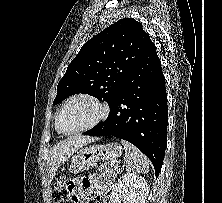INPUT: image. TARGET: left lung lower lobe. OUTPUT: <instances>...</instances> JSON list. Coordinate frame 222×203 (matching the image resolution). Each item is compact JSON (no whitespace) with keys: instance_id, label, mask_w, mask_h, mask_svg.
Segmentation results:
<instances>
[{"instance_id":"obj_1","label":"left lung lower lobe","mask_w":222,"mask_h":203,"mask_svg":"<svg viewBox=\"0 0 222 203\" xmlns=\"http://www.w3.org/2000/svg\"><path fill=\"white\" fill-rule=\"evenodd\" d=\"M109 107L105 122L83 134L132 143L151 160L158 176L167 142L168 106L165 78L152 41Z\"/></svg>"}]
</instances>
